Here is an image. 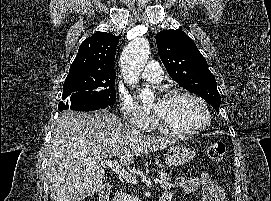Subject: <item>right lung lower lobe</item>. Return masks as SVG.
<instances>
[{"instance_id": "obj_1", "label": "right lung lower lobe", "mask_w": 271, "mask_h": 201, "mask_svg": "<svg viewBox=\"0 0 271 201\" xmlns=\"http://www.w3.org/2000/svg\"><path fill=\"white\" fill-rule=\"evenodd\" d=\"M109 106L110 105L103 104V103L87 104V103H84L82 100L71 101L69 99L66 101H61L58 105V109L60 111L66 110V109H71V110H76V111H93V110H98V109H105V108H108Z\"/></svg>"}]
</instances>
